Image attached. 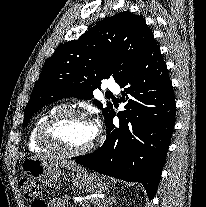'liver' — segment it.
<instances>
[{
    "label": "liver",
    "mask_w": 206,
    "mask_h": 207,
    "mask_svg": "<svg viewBox=\"0 0 206 207\" xmlns=\"http://www.w3.org/2000/svg\"><path fill=\"white\" fill-rule=\"evenodd\" d=\"M39 159L54 161L57 164H60L63 168H68V169L73 170V171L76 170V169H80L81 168L78 165H76L74 162L60 160V158H58L56 156L45 155V156L39 157Z\"/></svg>",
    "instance_id": "1"
}]
</instances>
